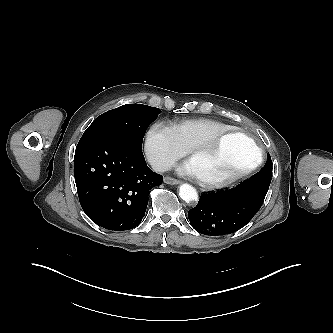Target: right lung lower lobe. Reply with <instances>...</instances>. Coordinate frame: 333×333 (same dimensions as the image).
<instances>
[{
	"label": "right lung lower lobe",
	"mask_w": 333,
	"mask_h": 333,
	"mask_svg": "<svg viewBox=\"0 0 333 333\" xmlns=\"http://www.w3.org/2000/svg\"><path fill=\"white\" fill-rule=\"evenodd\" d=\"M74 176L84 212L99 226L114 231L141 223L149 190L163 181L146 165L142 147L112 138L80 140Z\"/></svg>",
	"instance_id": "right-lung-lower-lobe-1"
}]
</instances>
